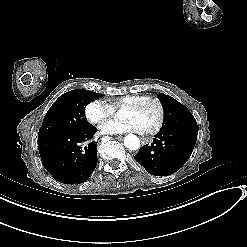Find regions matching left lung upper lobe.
<instances>
[{
    "label": "left lung upper lobe",
    "instance_id": "1",
    "mask_svg": "<svg viewBox=\"0 0 247 247\" xmlns=\"http://www.w3.org/2000/svg\"><path fill=\"white\" fill-rule=\"evenodd\" d=\"M158 98L162 102L165 112L163 130L184 128L198 130L194 116L183 104L163 93L158 94Z\"/></svg>",
    "mask_w": 247,
    "mask_h": 247
}]
</instances>
